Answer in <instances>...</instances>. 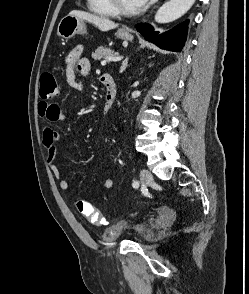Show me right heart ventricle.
Masks as SVG:
<instances>
[{
  "label": "right heart ventricle",
  "instance_id": "right-heart-ventricle-1",
  "mask_svg": "<svg viewBox=\"0 0 249 294\" xmlns=\"http://www.w3.org/2000/svg\"><path fill=\"white\" fill-rule=\"evenodd\" d=\"M88 8L91 12L106 17L117 15L109 0H87Z\"/></svg>",
  "mask_w": 249,
  "mask_h": 294
}]
</instances>
